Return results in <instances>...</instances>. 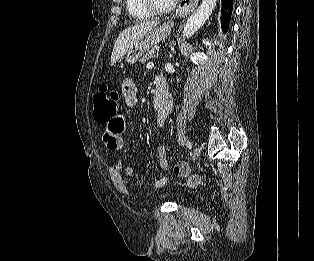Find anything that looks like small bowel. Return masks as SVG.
<instances>
[{"label":"small bowel","instance_id":"small-bowel-1","mask_svg":"<svg viewBox=\"0 0 314 261\" xmlns=\"http://www.w3.org/2000/svg\"><path fill=\"white\" fill-rule=\"evenodd\" d=\"M121 92L125 104L128 107H133L137 101V87L134 80L128 77L123 80L121 85ZM170 110L162 115H156L157 126L162 127L167 119ZM127 116H123L122 113H115L114 116H110L109 120L104 121L103 133H101V140H104L105 151H125V144L122 137L125 136V123H127ZM158 164L161 170L166 171L168 169L167 152L164 146L157 148ZM109 175L115 188L123 195L130 196L132 194L131 189L125 183L124 176L131 177L134 175L133 167H123V163L118 161L117 163L108 167ZM168 182V176L154 182V187L160 188L166 185Z\"/></svg>","mask_w":314,"mask_h":261}]
</instances>
